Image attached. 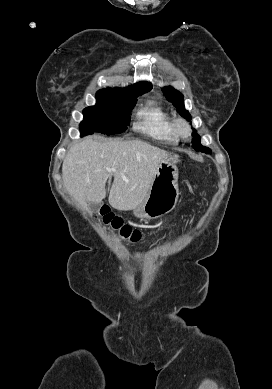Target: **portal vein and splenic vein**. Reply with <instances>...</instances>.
I'll list each match as a JSON object with an SVG mask.
<instances>
[{
    "label": "portal vein and splenic vein",
    "mask_w": 272,
    "mask_h": 389,
    "mask_svg": "<svg viewBox=\"0 0 272 389\" xmlns=\"http://www.w3.org/2000/svg\"><path fill=\"white\" fill-rule=\"evenodd\" d=\"M108 172H116L115 168L108 169Z\"/></svg>",
    "instance_id": "18ae733b"
}]
</instances>
